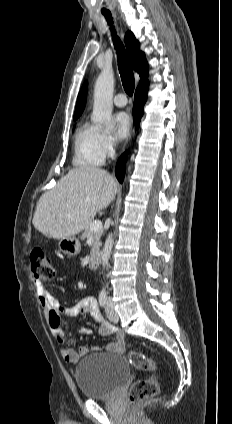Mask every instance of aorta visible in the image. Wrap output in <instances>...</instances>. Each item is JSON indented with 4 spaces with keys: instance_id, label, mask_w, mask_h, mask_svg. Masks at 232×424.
I'll use <instances>...</instances> for the list:
<instances>
[{
    "instance_id": "762f6f07",
    "label": "aorta",
    "mask_w": 232,
    "mask_h": 424,
    "mask_svg": "<svg viewBox=\"0 0 232 424\" xmlns=\"http://www.w3.org/2000/svg\"><path fill=\"white\" fill-rule=\"evenodd\" d=\"M114 73L111 67L106 66L98 76L94 89V105L92 121L108 129L114 126L112 120L113 110ZM113 234L110 233L105 241L101 252V264L103 268L108 265L113 247Z\"/></svg>"
}]
</instances>
